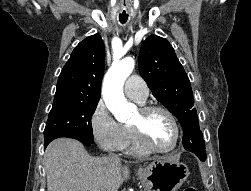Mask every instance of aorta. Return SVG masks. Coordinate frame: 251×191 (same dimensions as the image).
<instances>
[{"mask_svg":"<svg viewBox=\"0 0 251 191\" xmlns=\"http://www.w3.org/2000/svg\"><path fill=\"white\" fill-rule=\"evenodd\" d=\"M134 66L133 58L115 60L104 78L102 94L108 109L118 121H126L134 111V103H129L123 94L124 82L132 74Z\"/></svg>","mask_w":251,"mask_h":191,"instance_id":"aorta-1","label":"aorta"}]
</instances>
